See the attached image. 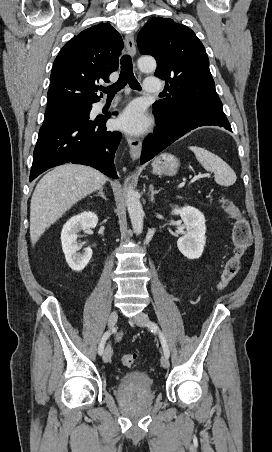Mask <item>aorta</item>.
Instances as JSON below:
<instances>
[{
	"mask_svg": "<svg viewBox=\"0 0 272 452\" xmlns=\"http://www.w3.org/2000/svg\"><path fill=\"white\" fill-rule=\"evenodd\" d=\"M138 67L142 72H152L156 69V61L153 57L139 58ZM126 205L134 232L139 235L143 231L144 211L138 194L128 187L126 189Z\"/></svg>",
	"mask_w": 272,
	"mask_h": 452,
	"instance_id": "1",
	"label": "aorta"
}]
</instances>
